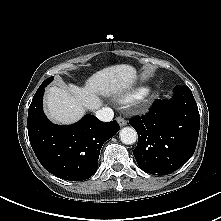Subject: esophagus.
Returning <instances> with one entry per match:
<instances>
[{
	"label": "esophagus",
	"instance_id": "1",
	"mask_svg": "<svg viewBox=\"0 0 221 221\" xmlns=\"http://www.w3.org/2000/svg\"><path fill=\"white\" fill-rule=\"evenodd\" d=\"M116 120H117L118 124H119L121 127L127 125V121H126L124 118L120 117V116L117 117Z\"/></svg>",
	"mask_w": 221,
	"mask_h": 221
}]
</instances>
